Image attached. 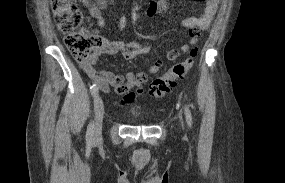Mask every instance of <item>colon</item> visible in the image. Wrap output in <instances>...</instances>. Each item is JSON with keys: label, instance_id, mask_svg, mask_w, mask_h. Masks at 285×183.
Listing matches in <instances>:
<instances>
[{"label": "colon", "instance_id": "5ec220e1", "mask_svg": "<svg viewBox=\"0 0 285 183\" xmlns=\"http://www.w3.org/2000/svg\"><path fill=\"white\" fill-rule=\"evenodd\" d=\"M57 28L66 33L65 45L71 55L79 61L89 60L94 51L101 45V37L93 30L83 27L84 16L74 0H51ZM197 49L190 50L188 58L175 64L168 72L153 80L150 85L152 96H166L191 70Z\"/></svg>", "mask_w": 285, "mask_h": 183}]
</instances>
